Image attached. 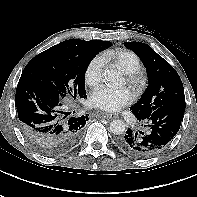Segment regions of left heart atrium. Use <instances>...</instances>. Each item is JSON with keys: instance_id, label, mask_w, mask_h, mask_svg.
<instances>
[{"instance_id": "obj_1", "label": "left heart atrium", "mask_w": 197, "mask_h": 197, "mask_svg": "<svg viewBox=\"0 0 197 197\" xmlns=\"http://www.w3.org/2000/svg\"><path fill=\"white\" fill-rule=\"evenodd\" d=\"M133 101V94L126 88L101 86L90 98V104L106 112H117Z\"/></svg>"}]
</instances>
